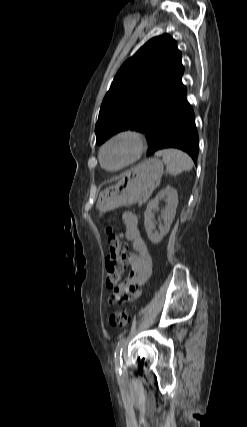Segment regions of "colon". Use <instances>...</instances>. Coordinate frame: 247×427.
I'll list each match as a JSON object with an SVG mask.
<instances>
[{
    "label": "colon",
    "mask_w": 247,
    "mask_h": 427,
    "mask_svg": "<svg viewBox=\"0 0 247 427\" xmlns=\"http://www.w3.org/2000/svg\"><path fill=\"white\" fill-rule=\"evenodd\" d=\"M105 231L110 243V254L105 262L106 285L109 288H115L119 284L127 263V247L113 226L108 225ZM130 321L131 314L126 309L114 311L109 318L111 326L117 328L127 326Z\"/></svg>",
    "instance_id": "obj_1"
}]
</instances>
